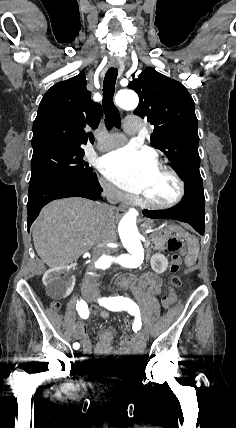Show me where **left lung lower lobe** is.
<instances>
[{
  "mask_svg": "<svg viewBox=\"0 0 236 428\" xmlns=\"http://www.w3.org/2000/svg\"><path fill=\"white\" fill-rule=\"evenodd\" d=\"M144 216L152 219H174L190 224L199 234H204L205 197L202 182L185 183V195L182 202L171 209L143 211Z\"/></svg>",
  "mask_w": 236,
  "mask_h": 428,
  "instance_id": "obj_1",
  "label": "left lung lower lobe"
}]
</instances>
